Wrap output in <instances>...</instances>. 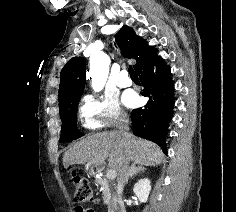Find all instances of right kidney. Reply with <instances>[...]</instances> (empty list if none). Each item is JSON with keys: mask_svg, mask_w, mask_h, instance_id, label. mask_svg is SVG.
Wrapping results in <instances>:
<instances>
[{"mask_svg": "<svg viewBox=\"0 0 236 212\" xmlns=\"http://www.w3.org/2000/svg\"><path fill=\"white\" fill-rule=\"evenodd\" d=\"M150 190L151 182L148 178L140 179L133 188L134 194L142 203L147 202Z\"/></svg>", "mask_w": 236, "mask_h": 212, "instance_id": "1", "label": "right kidney"}]
</instances>
